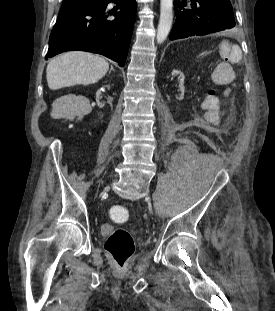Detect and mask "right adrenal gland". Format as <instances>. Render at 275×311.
Instances as JSON below:
<instances>
[{
	"label": "right adrenal gland",
	"instance_id": "2a0ac1e0",
	"mask_svg": "<svg viewBox=\"0 0 275 311\" xmlns=\"http://www.w3.org/2000/svg\"><path fill=\"white\" fill-rule=\"evenodd\" d=\"M111 71H115L112 65H111L109 73H111Z\"/></svg>",
	"mask_w": 275,
	"mask_h": 311
}]
</instances>
